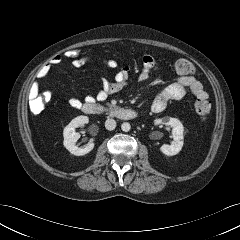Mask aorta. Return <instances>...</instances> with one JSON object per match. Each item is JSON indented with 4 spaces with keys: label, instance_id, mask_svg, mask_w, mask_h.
<instances>
[{
    "label": "aorta",
    "instance_id": "aorta-1",
    "mask_svg": "<svg viewBox=\"0 0 240 240\" xmlns=\"http://www.w3.org/2000/svg\"><path fill=\"white\" fill-rule=\"evenodd\" d=\"M121 129H122V131H124V132H128V131H130V129H131V125H130L128 122H124V123H122V125H121Z\"/></svg>",
    "mask_w": 240,
    "mask_h": 240
}]
</instances>
